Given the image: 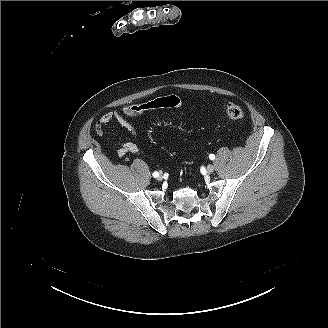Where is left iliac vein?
I'll list each match as a JSON object with an SVG mask.
<instances>
[{"label":"left iliac vein","instance_id":"left-iliac-vein-1","mask_svg":"<svg viewBox=\"0 0 328 328\" xmlns=\"http://www.w3.org/2000/svg\"><path fill=\"white\" fill-rule=\"evenodd\" d=\"M206 169H207V172H208L209 174H211V173L214 171L215 168H214V166H212V165H208Z\"/></svg>","mask_w":328,"mask_h":328}]
</instances>
